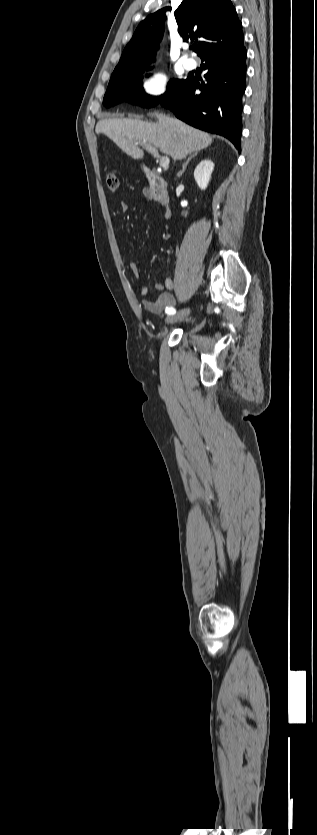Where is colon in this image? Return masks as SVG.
<instances>
[{
  "instance_id": "5ec220e1",
  "label": "colon",
  "mask_w": 317,
  "mask_h": 835,
  "mask_svg": "<svg viewBox=\"0 0 317 835\" xmlns=\"http://www.w3.org/2000/svg\"><path fill=\"white\" fill-rule=\"evenodd\" d=\"M106 184H107V187L110 190H112V191L116 190L118 188V185H119V180H118L117 175L115 173H108L106 175Z\"/></svg>"
}]
</instances>
